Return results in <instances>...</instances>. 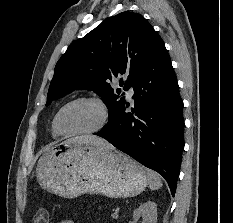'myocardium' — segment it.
Masks as SVG:
<instances>
[{"label": "myocardium", "mask_w": 233, "mask_h": 223, "mask_svg": "<svg viewBox=\"0 0 233 223\" xmlns=\"http://www.w3.org/2000/svg\"><path fill=\"white\" fill-rule=\"evenodd\" d=\"M92 102L95 103L96 105H98V107L100 108L101 112H102V116H103V121L101 123V125L91 131H87V132H79V133H68L63 131L60 128V117L62 115V113L64 112V110L69 107L70 105L76 103V102ZM110 121V114H109V110L107 108V105L105 104V102L100 98V97H96V96H79L76 97L70 101H68L67 103H65L56 113L54 119H53V123H52V127L54 129V131L60 135V136H66V137H86V136H91V135H95L97 133H100L101 131H103L107 125L109 124Z\"/></svg>", "instance_id": "myocardium-1"}]
</instances>
